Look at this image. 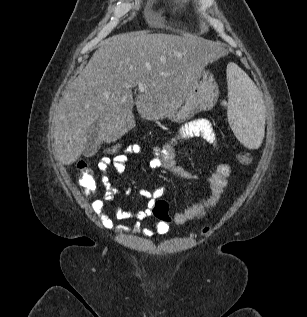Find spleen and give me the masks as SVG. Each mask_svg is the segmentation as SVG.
<instances>
[{"instance_id": "3e777b00", "label": "spleen", "mask_w": 307, "mask_h": 317, "mask_svg": "<svg viewBox=\"0 0 307 317\" xmlns=\"http://www.w3.org/2000/svg\"><path fill=\"white\" fill-rule=\"evenodd\" d=\"M228 121L237 139L249 149H257L263 140L265 112L261 93L236 64L227 66Z\"/></svg>"}]
</instances>
